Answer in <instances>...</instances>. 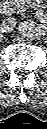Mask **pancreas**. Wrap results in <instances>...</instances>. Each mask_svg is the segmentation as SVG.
<instances>
[{
  "label": "pancreas",
  "mask_w": 47,
  "mask_h": 129,
  "mask_svg": "<svg viewBox=\"0 0 47 129\" xmlns=\"http://www.w3.org/2000/svg\"><path fill=\"white\" fill-rule=\"evenodd\" d=\"M33 0H13V4L15 6V10L17 13L26 11Z\"/></svg>",
  "instance_id": "pancreas-1"
}]
</instances>
